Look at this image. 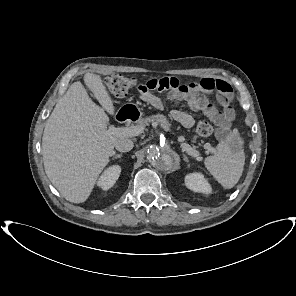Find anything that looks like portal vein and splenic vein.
<instances>
[{
    "label": "portal vein and splenic vein",
    "mask_w": 296,
    "mask_h": 296,
    "mask_svg": "<svg viewBox=\"0 0 296 296\" xmlns=\"http://www.w3.org/2000/svg\"><path fill=\"white\" fill-rule=\"evenodd\" d=\"M144 131L143 126H132V127H115L114 125H110L108 129V133L117 137H133L138 136ZM182 148L187 152L188 155L192 157H197L198 152L194 150L190 145L183 143Z\"/></svg>",
    "instance_id": "18ae733b"
}]
</instances>
